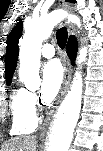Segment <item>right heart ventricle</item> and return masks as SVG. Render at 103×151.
Segmentation results:
<instances>
[{
    "label": "right heart ventricle",
    "instance_id": "1",
    "mask_svg": "<svg viewBox=\"0 0 103 151\" xmlns=\"http://www.w3.org/2000/svg\"><path fill=\"white\" fill-rule=\"evenodd\" d=\"M12 135L32 133L38 125V118L28 104V91L14 89L11 95Z\"/></svg>",
    "mask_w": 103,
    "mask_h": 151
}]
</instances>
